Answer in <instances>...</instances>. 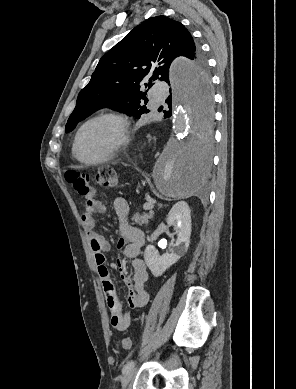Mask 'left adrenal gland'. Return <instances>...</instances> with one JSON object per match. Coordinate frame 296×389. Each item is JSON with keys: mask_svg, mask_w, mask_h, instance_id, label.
Segmentation results:
<instances>
[{"mask_svg": "<svg viewBox=\"0 0 296 389\" xmlns=\"http://www.w3.org/2000/svg\"><path fill=\"white\" fill-rule=\"evenodd\" d=\"M159 207H162V205H161V204H159Z\"/></svg>", "mask_w": 296, "mask_h": 389, "instance_id": "left-adrenal-gland-1", "label": "left adrenal gland"}]
</instances>
